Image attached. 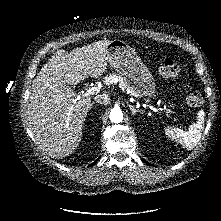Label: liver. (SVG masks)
<instances>
[{
  "label": "liver",
  "mask_w": 221,
  "mask_h": 221,
  "mask_svg": "<svg viewBox=\"0 0 221 221\" xmlns=\"http://www.w3.org/2000/svg\"><path fill=\"white\" fill-rule=\"evenodd\" d=\"M109 42H93L70 53L58 50L32 82L29 124L38 145L52 158H63L79 146L91 98L77 95L70 85L103 75Z\"/></svg>",
  "instance_id": "6515ba94"
}]
</instances>
